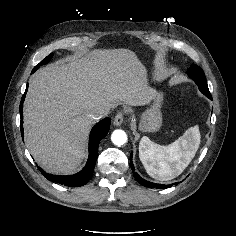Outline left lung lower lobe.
Listing matches in <instances>:
<instances>
[{"mask_svg": "<svg viewBox=\"0 0 236 236\" xmlns=\"http://www.w3.org/2000/svg\"><path fill=\"white\" fill-rule=\"evenodd\" d=\"M209 99H212V97H208ZM131 167H132V171H133V175L135 177V179L143 186L145 187H149V188H159V189H163V188H167V187H171L172 185L174 184H178V182L176 183H173V184H170V185H164V184H157V183H152V182H149L143 178H141L136 172H135V168H134V165L132 163V153H131Z\"/></svg>", "mask_w": 236, "mask_h": 236, "instance_id": "0a47b994", "label": "left lung lower lobe"}]
</instances>
